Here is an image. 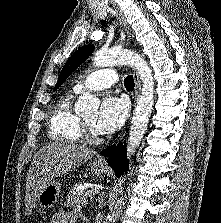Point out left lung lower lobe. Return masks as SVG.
<instances>
[{"instance_id":"obj_1","label":"left lung lower lobe","mask_w":221,"mask_h":223,"mask_svg":"<svg viewBox=\"0 0 221 223\" xmlns=\"http://www.w3.org/2000/svg\"><path fill=\"white\" fill-rule=\"evenodd\" d=\"M103 156L109 157L107 162L115 171V175L120 177L126 172L128 168V161L126 160V147L120 142L117 146L112 145L111 147L101 151Z\"/></svg>"}]
</instances>
